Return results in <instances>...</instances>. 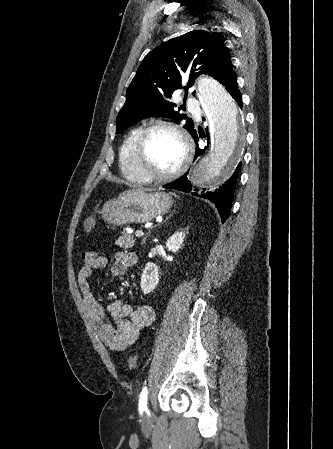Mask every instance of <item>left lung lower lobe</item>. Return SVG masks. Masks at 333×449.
Returning a JSON list of instances; mask_svg holds the SVG:
<instances>
[{
	"label": "left lung lower lobe",
	"instance_id": "left-lung-lower-lobe-1",
	"mask_svg": "<svg viewBox=\"0 0 333 449\" xmlns=\"http://www.w3.org/2000/svg\"><path fill=\"white\" fill-rule=\"evenodd\" d=\"M222 84L225 86L226 90L230 93V95L236 100L238 105L241 107L242 106L241 93L237 88V77L233 71L229 74V76L224 80ZM191 135L194 138V141L196 142L197 146L196 156L194 159H197L204 153L206 147L204 149L199 148L198 146L199 138L197 132H194ZM240 168L241 163H239L233 175L221 187L213 191H207L205 189H202L197 190V192L195 193H192L194 196L206 198L212 201L216 205L223 223L226 221V219L230 214L231 205L233 201V193ZM187 174L188 172L179 179H177L176 181L166 184L163 187L169 189H177L184 192H190L191 183L190 181L187 180Z\"/></svg>",
	"mask_w": 333,
	"mask_h": 449
}]
</instances>
